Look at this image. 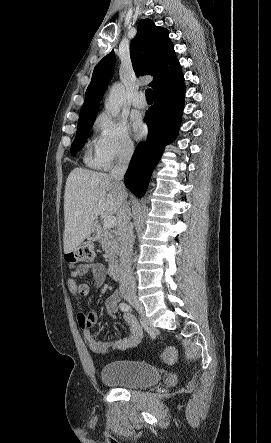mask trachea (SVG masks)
I'll return each instance as SVG.
<instances>
[{"label":"trachea","instance_id":"3493384b","mask_svg":"<svg viewBox=\"0 0 271 443\" xmlns=\"http://www.w3.org/2000/svg\"><path fill=\"white\" fill-rule=\"evenodd\" d=\"M145 95H146V99L147 100H152V90H151V88H147V90L145 91Z\"/></svg>","mask_w":271,"mask_h":443}]
</instances>
